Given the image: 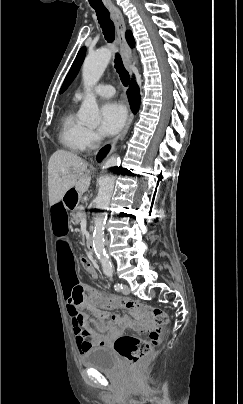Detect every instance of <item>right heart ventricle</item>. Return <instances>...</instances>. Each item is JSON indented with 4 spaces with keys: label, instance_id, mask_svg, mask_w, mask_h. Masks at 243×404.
I'll return each mask as SVG.
<instances>
[{
    "label": "right heart ventricle",
    "instance_id": "e07e8e85",
    "mask_svg": "<svg viewBox=\"0 0 243 404\" xmlns=\"http://www.w3.org/2000/svg\"><path fill=\"white\" fill-rule=\"evenodd\" d=\"M77 92L73 99V105L66 110L61 118L58 132L60 146L68 152L80 154L84 151L83 138L86 127L78 121L74 114V105L79 101Z\"/></svg>",
    "mask_w": 243,
    "mask_h": 404
}]
</instances>
